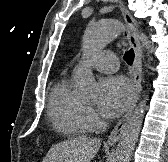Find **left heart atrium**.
I'll return each mask as SVG.
<instances>
[{
	"instance_id": "1",
	"label": "left heart atrium",
	"mask_w": 168,
	"mask_h": 162,
	"mask_svg": "<svg viewBox=\"0 0 168 162\" xmlns=\"http://www.w3.org/2000/svg\"><path fill=\"white\" fill-rule=\"evenodd\" d=\"M133 95L129 81L122 76H111L101 83L99 109L108 118L120 115Z\"/></svg>"
}]
</instances>
